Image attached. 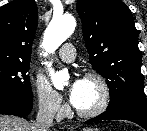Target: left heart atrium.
<instances>
[{"label":"left heart atrium","mask_w":147,"mask_h":131,"mask_svg":"<svg viewBox=\"0 0 147 131\" xmlns=\"http://www.w3.org/2000/svg\"><path fill=\"white\" fill-rule=\"evenodd\" d=\"M85 80L82 78L74 79L68 89V96L71 104L77 107L81 101L84 90Z\"/></svg>","instance_id":"1"}]
</instances>
